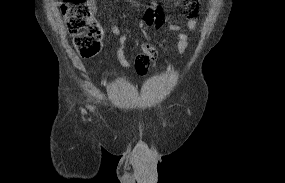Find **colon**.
I'll return each mask as SVG.
<instances>
[{
    "mask_svg": "<svg viewBox=\"0 0 285 183\" xmlns=\"http://www.w3.org/2000/svg\"><path fill=\"white\" fill-rule=\"evenodd\" d=\"M87 0H64L61 10L65 16L67 29L74 35V46L84 57L94 56L102 45L103 29L86 7ZM136 72L144 75L148 66L135 65Z\"/></svg>",
    "mask_w": 285,
    "mask_h": 183,
    "instance_id": "colon-1",
    "label": "colon"
}]
</instances>
